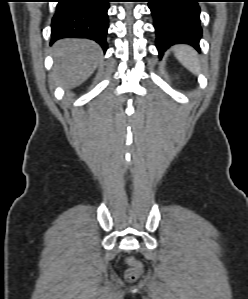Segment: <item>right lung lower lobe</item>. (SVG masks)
I'll return each instance as SVG.
<instances>
[{
  "label": "right lung lower lobe",
  "instance_id": "obj_1",
  "mask_svg": "<svg viewBox=\"0 0 248 299\" xmlns=\"http://www.w3.org/2000/svg\"><path fill=\"white\" fill-rule=\"evenodd\" d=\"M110 0H58L52 18V43L61 38H88L107 49Z\"/></svg>",
  "mask_w": 248,
  "mask_h": 299
}]
</instances>
